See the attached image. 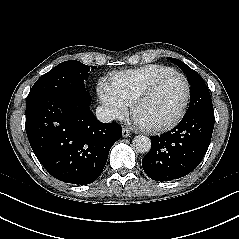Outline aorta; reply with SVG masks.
I'll list each match as a JSON object with an SVG mask.
<instances>
[{
    "instance_id": "aorta-1",
    "label": "aorta",
    "mask_w": 239,
    "mask_h": 239,
    "mask_svg": "<svg viewBox=\"0 0 239 239\" xmlns=\"http://www.w3.org/2000/svg\"><path fill=\"white\" fill-rule=\"evenodd\" d=\"M133 148L138 153H148L151 149V141L150 138L144 135H138L136 136L133 141Z\"/></svg>"
}]
</instances>
